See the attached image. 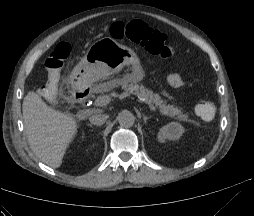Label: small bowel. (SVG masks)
Segmentation results:
<instances>
[{
	"mask_svg": "<svg viewBox=\"0 0 254 216\" xmlns=\"http://www.w3.org/2000/svg\"><path fill=\"white\" fill-rule=\"evenodd\" d=\"M169 54L174 55L177 52L176 47L171 46L168 49ZM167 82L172 88L179 89L186 86L185 81L177 73H171L167 76Z\"/></svg>",
	"mask_w": 254,
	"mask_h": 216,
	"instance_id": "c3829d8e",
	"label": "small bowel"
}]
</instances>
